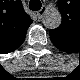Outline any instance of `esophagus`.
<instances>
[{"label": "esophagus", "mask_w": 80, "mask_h": 80, "mask_svg": "<svg viewBox=\"0 0 80 80\" xmlns=\"http://www.w3.org/2000/svg\"><path fill=\"white\" fill-rule=\"evenodd\" d=\"M41 10H43V7H42ZM41 10L37 13L38 18H42V16L44 15V13H46V11H47V10H44V11L42 12Z\"/></svg>", "instance_id": "1"}]
</instances>
